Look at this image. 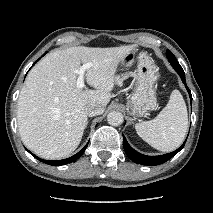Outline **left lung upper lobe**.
Instances as JSON below:
<instances>
[{
	"mask_svg": "<svg viewBox=\"0 0 213 213\" xmlns=\"http://www.w3.org/2000/svg\"><path fill=\"white\" fill-rule=\"evenodd\" d=\"M167 58L169 60V62L171 63L172 67L176 70V71H183L182 67L180 66V64L178 63V61L176 60L175 56L172 54L171 51L167 50Z\"/></svg>",
	"mask_w": 213,
	"mask_h": 213,
	"instance_id": "left-lung-upper-lobe-1",
	"label": "left lung upper lobe"
}]
</instances>
